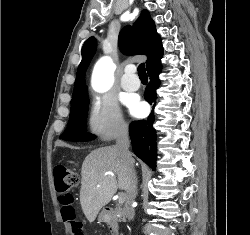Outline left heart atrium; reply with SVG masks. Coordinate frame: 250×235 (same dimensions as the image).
Returning <instances> with one entry per match:
<instances>
[{
	"label": "left heart atrium",
	"instance_id": "39dd6f15",
	"mask_svg": "<svg viewBox=\"0 0 250 235\" xmlns=\"http://www.w3.org/2000/svg\"><path fill=\"white\" fill-rule=\"evenodd\" d=\"M134 112L137 115H142L143 114V107L142 105H136L134 108Z\"/></svg>",
	"mask_w": 250,
	"mask_h": 235
}]
</instances>
